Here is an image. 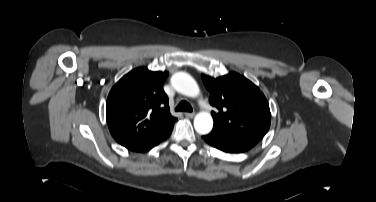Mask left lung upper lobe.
<instances>
[{
	"mask_svg": "<svg viewBox=\"0 0 376 202\" xmlns=\"http://www.w3.org/2000/svg\"><path fill=\"white\" fill-rule=\"evenodd\" d=\"M202 80L210 92V104L217 108V112H212L214 125L256 140L265 136L271 114L264 94L256 85L235 72L216 79L202 75Z\"/></svg>",
	"mask_w": 376,
	"mask_h": 202,
	"instance_id": "obj_1",
	"label": "left lung upper lobe"
}]
</instances>
